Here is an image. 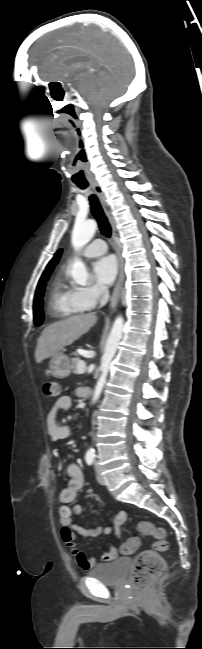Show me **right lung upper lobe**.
Listing matches in <instances>:
<instances>
[{"instance_id":"obj_1","label":"right lung upper lobe","mask_w":202,"mask_h":649,"mask_svg":"<svg viewBox=\"0 0 202 649\" xmlns=\"http://www.w3.org/2000/svg\"><path fill=\"white\" fill-rule=\"evenodd\" d=\"M61 252H62V250L60 249L55 253L54 257L48 263V265H47L46 269L44 270L43 274H45V273H47L49 271H53L55 265L58 263V260H59V258L61 256Z\"/></svg>"}]
</instances>
